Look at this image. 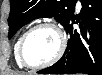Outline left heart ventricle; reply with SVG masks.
<instances>
[{
    "label": "left heart ventricle",
    "mask_w": 102,
    "mask_h": 75,
    "mask_svg": "<svg viewBox=\"0 0 102 75\" xmlns=\"http://www.w3.org/2000/svg\"><path fill=\"white\" fill-rule=\"evenodd\" d=\"M59 45V37L53 29L39 28L27 39L25 56L30 63L46 62L56 55Z\"/></svg>",
    "instance_id": "1"
}]
</instances>
